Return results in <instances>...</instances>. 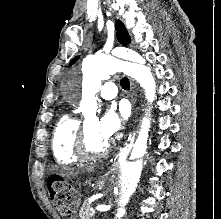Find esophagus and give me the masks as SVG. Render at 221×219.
I'll use <instances>...</instances> for the list:
<instances>
[{"label": "esophagus", "mask_w": 221, "mask_h": 219, "mask_svg": "<svg viewBox=\"0 0 221 219\" xmlns=\"http://www.w3.org/2000/svg\"><path fill=\"white\" fill-rule=\"evenodd\" d=\"M137 100V91H136V86L133 81H131V102L132 105L134 106Z\"/></svg>", "instance_id": "1"}]
</instances>
